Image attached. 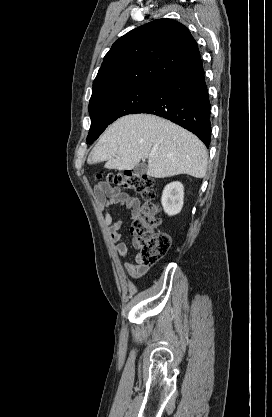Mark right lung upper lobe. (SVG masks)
<instances>
[{
	"instance_id": "right-lung-upper-lobe-1",
	"label": "right lung upper lobe",
	"mask_w": 272,
	"mask_h": 417,
	"mask_svg": "<svg viewBox=\"0 0 272 417\" xmlns=\"http://www.w3.org/2000/svg\"><path fill=\"white\" fill-rule=\"evenodd\" d=\"M198 57V45L183 24L167 18L149 22L112 45L93 82L90 102L130 87L161 85Z\"/></svg>"
}]
</instances>
